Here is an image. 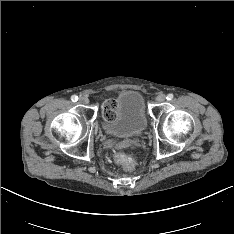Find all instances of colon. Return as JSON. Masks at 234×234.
Listing matches in <instances>:
<instances>
[{"label":"colon","mask_w":234,"mask_h":234,"mask_svg":"<svg viewBox=\"0 0 234 234\" xmlns=\"http://www.w3.org/2000/svg\"><path fill=\"white\" fill-rule=\"evenodd\" d=\"M114 108H115V104L113 101H107L104 105H103V117L105 119H111L114 113ZM121 146H125V144H121ZM117 161L118 163H120L122 165V167L125 170H132L134 168V166H136L137 161L134 158H130L128 156H126L125 154H118L117 155Z\"/></svg>","instance_id":"5ec220e1"}]
</instances>
